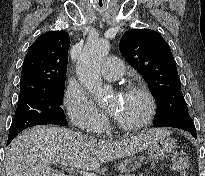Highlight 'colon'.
Segmentation results:
<instances>
[{
    "label": "colon",
    "mask_w": 205,
    "mask_h": 176,
    "mask_svg": "<svg viewBox=\"0 0 205 176\" xmlns=\"http://www.w3.org/2000/svg\"><path fill=\"white\" fill-rule=\"evenodd\" d=\"M170 163L173 170L179 173L180 176H186L189 168V160L186 153L183 151L174 152L171 156Z\"/></svg>",
    "instance_id": "colon-1"
}]
</instances>
